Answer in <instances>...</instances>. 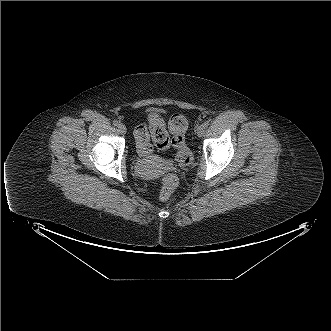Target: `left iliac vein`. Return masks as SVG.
<instances>
[{"label":"left iliac vein","mask_w":331,"mask_h":331,"mask_svg":"<svg viewBox=\"0 0 331 331\" xmlns=\"http://www.w3.org/2000/svg\"><path fill=\"white\" fill-rule=\"evenodd\" d=\"M204 134H205V127H204V125H200V126L197 128V135H198L199 137H202Z\"/></svg>","instance_id":"left-iliac-vein-1"}]
</instances>
